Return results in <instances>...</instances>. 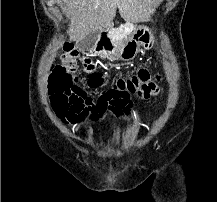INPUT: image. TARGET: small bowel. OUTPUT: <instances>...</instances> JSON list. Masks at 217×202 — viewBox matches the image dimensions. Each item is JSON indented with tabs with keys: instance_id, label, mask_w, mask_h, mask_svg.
<instances>
[{
	"instance_id": "c3829d8e",
	"label": "small bowel",
	"mask_w": 217,
	"mask_h": 202,
	"mask_svg": "<svg viewBox=\"0 0 217 202\" xmlns=\"http://www.w3.org/2000/svg\"><path fill=\"white\" fill-rule=\"evenodd\" d=\"M86 90H99V85H86Z\"/></svg>"
}]
</instances>
